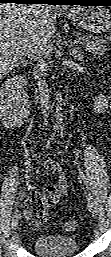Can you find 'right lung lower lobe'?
<instances>
[{
    "instance_id": "right-lung-lower-lobe-1",
    "label": "right lung lower lobe",
    "mask_w": 111,
    "mask_h": 257,
    "mask_svg": "<svg viewBox=\"0 0 111 257\" xmlns=\"http://www.w3.org/2000/svg\"><path fill=\"white\" fill-rule=\"evenodd\" d=\"M0 3H17V4H52V0H0Z\"/></svg>"
}]
</instances>
